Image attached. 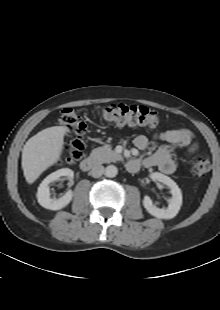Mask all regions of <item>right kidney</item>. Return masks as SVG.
<instances>
[{
  "instance_id": "1",
  "label": "right kidney",
  "mask_w": 220,
  "mask_h": 310,
  "mask_svg": "<svg viewBox=\"0 0 220 310\" xmlns=\"http://www.w3.org/2000/svg\"><path fill=\"white\" fill-rule=\"evenodd\" d=\"M62 176H66L67 179L72 180L74 176V172L69 168L59 169L51 173L50 175H48L38 187V192L36 196H37L38 203L42 207L46 209H50V210H60L66 207L72 200L73 193L71 190L66 192V194L59 199L50 198L49 184L55 180H58Z\"/></svg>"
}]
</instances>
